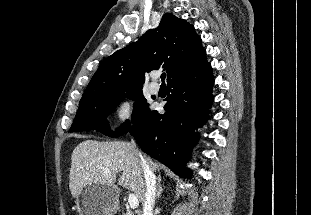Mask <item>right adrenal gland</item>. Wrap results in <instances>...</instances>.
Segmentation results:
<instances>
[{
  "label": "right adrenal gland",
  "mask_w": 311,
  "mask_h": 215,
  "mask_svg": "<svg viewBox=\"0 0 311 215\" xmlns=\"http://www.w3.org/2000/svg\"><path fill=\"white\" fill-rule=\"evenodd\" d=\"M157 186H158V190H157V194H156V199L159 198L161 196V193L163 191V188L161 186V176L159 175L158 176V179H157Z\"/></svg>",
  "instance_id": "1"
}]
</instances>
